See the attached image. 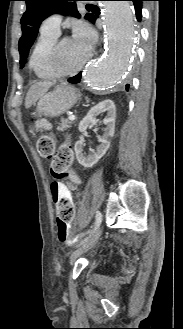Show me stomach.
<instances>
[{"mask_svg":"<svg viewBox=\"0 0 183 329\" xmlns=\"http://www.w3.org/2000/svg\"><path fill=\"white\" fill-rule=\"evenodd\" d=\"M78 98L79 96L72 87L59 85L39 99L36 112L38 115L50 118L58 117L71 109ZM30 132L35 135L33 126L30 127Z\"/></svg>","mask_w":183,"mask_h":329,"instance_id":"1","label":"stomach"}]
</instances>
